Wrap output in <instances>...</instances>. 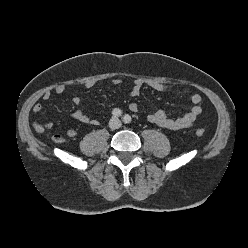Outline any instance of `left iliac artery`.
<instances>
[{"instance_id": "left-iliac-artery-1", "label": "left iliac artery", "mask_w": 248, "mask_h": 248, "mask_svg": "<svg viewBox=\"0 0 248 248\" xmlns=\"http://www.w3.org/2000/svg\"><path fill=\"white\" fill-rule=\"evenodd\" d=\"M123 122L126 123V124L130 123L131 122V117L128 114L124 115L123 116Z\"/></svg>"}]
</instances>
